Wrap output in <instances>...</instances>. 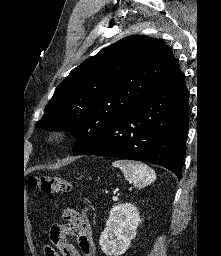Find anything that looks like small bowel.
<instances>
[{
  "label": "small bowel",
  "instance_id": "c3829d8e",
  "mask_svg": "<svg viewBox=\"0 0 221 256\" xmlns=\"http://www.w3.org/2000/svg\"><path fill=\"white\" fill-rule=\"evenodd\" d=\"M64 224L53 225L50 229V244L44 248L45 256H95L92 228L85 212L67 209L63 213ZM74 235L77 243L67 239Z\"/></svg>",
  "mask_w": 221,
  "mask_h": 256
}]
</instances>
